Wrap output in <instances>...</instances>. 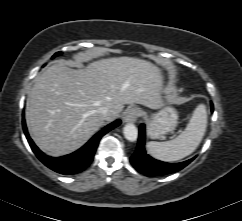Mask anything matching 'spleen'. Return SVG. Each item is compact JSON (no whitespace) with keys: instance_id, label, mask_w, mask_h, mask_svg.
I'll return each instance as SVG.
<instances>
[{"instance_id":"1","label":"spleen","mask_w":242,"mask_h":221,"mask_svg":"<svg viewBox=\"0 0 242 221\" xmlns=\"http://www.w3.org/2000/svg\"><path fill=\"white\" fill-rule=\"evenodd\" d=\"M206 127V106L200 104L194 110L187 127L180 135L170 141H150L147 143V150L158 160L165 162L178 161L196 150L203 139Z\"/></svg>"}]
</instances>
